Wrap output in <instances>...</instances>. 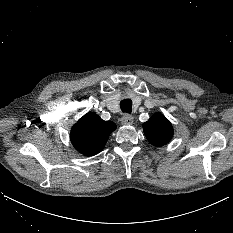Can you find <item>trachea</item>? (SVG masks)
<instances>
[{
    "label": "trachea",
    "instance_id": "trachea-1",
    "mask_svg": "<svg viewBox=\"0 0 233 233\" xmlns=\"http://www.w3.org/2000/svg\"><path fill=\"white\" fill-rule=\"evenodd\" d=\"M120 108L125 113H131L132 111V100L124 99L120 102Z\"/></svg>",
    "mask_w": 233,
    "mask_h": 233
}]
</instances>
